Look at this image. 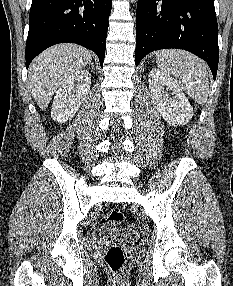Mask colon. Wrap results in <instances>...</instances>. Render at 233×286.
<instances>
[{
  "label": "colon",
  "mask_w": 233,
  "mask_h": 286,
  "mask_svg": "<svg viewBox=\"0 0 233 286\" xmlns=\"http://www.w3.org/2000/svg\"><path fill=\"white\" fill-rule=\"evenodd\" d=\"M100 220L103 224L119 223L123 220V214L116 209H107L101 214ZM104 260L113 272H118L125 263V255L120 247L112 246L105 253Z\"/></svg>",
  "instance_id": "obj_1"
}]
</instances>
